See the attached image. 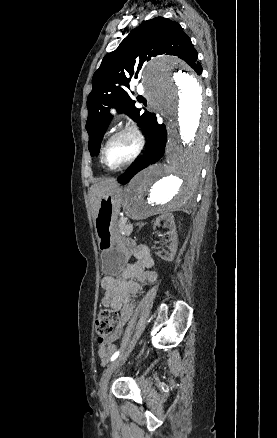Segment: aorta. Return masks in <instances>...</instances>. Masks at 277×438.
Here are the masks:
<instances>
[{
	"mask_svg": "<svg viewBox=\"0 0 277 438\" xmlns=\"http://www.w3.org/2000/svg\"><path fill=\"white\" fill-rule=\"evenodd\" d=\"M150 104L166 120L165 162L138 173L130 182L125 214L135 220L173 211L193 196L203 161V89L196 74L171 57H156L142 71Z\"/></svg>",
	"mask_w": 277,
	"mask_h": 438,
	"instance_id": "obj_1",
	"label": "aorta"
}]
</instances>
